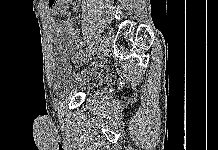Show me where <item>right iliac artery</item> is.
<instances>
[{"mask_svg":"<svg viewBox=\"0 0 218 150\" xmlns=\"http://www.w3.org/2000/svg\"><path fill=\"white\" fill-rule=\"evenodd\" d=\"M95 42H96V41H90V44H89L87 47H85V51L80 50V51H79V54H80V55L85 54V53H86V49H88L91 44H94V45L96 46L97 44H96Z\"/></svg>","mask_w":218,"mask_h":150,"instance_id":"1","label":"right iliac artery"}]
</instances>
